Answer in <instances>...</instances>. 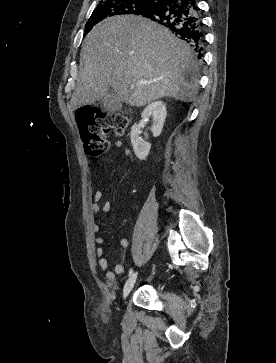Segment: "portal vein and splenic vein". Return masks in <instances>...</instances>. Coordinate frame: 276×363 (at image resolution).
Wrapping results in <instances>:
<instances>
[{
  "mask_svg": "<svg viewBox=\"0 0 276 363\" xmlns=\"http://www.w3.org/2000/svg\"><path fill=\"white\" fill-rule=\"evenodd\" d=\"M134 87H135L134 85H131L130 89H134Z\"/></svg>",
  "mask_w": 276,
  "mask_h": 363,
  "instance_id": "1",
  "label": "portal vein and splenic vein"
}]
</instances>
